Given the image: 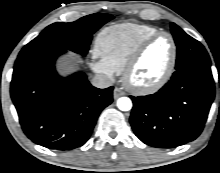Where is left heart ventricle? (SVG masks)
I'll use <instances>...</instances> for the list:
<instances>
[{"mask_svg":"<svg viewBox=\"0 0 220 173\" xmlns=\"http://www.w3.org/2000/svg\"><path fill=\"white\" fill-rule=\"evenodd\" d=\"M171 57V43L168 37H160L144 51L130 80L136 85H149L166 71Z\"/></svg>","mask_w":220,"mask_h":173,"instance_id":"b2bd125f","label":"left heart ventricle"}]
</instances>
